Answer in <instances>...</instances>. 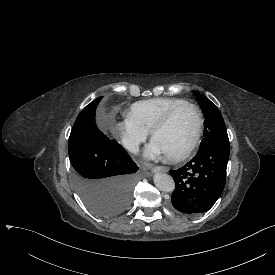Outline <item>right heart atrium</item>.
I'll return each instance as SVG.
<instances>
[{
  "instance_id": "right-heart-atrium-1",
  "label": "right heart atrium",
  "mask_w": 275,
  "mask_h": 275,
  "mask_svg": "<svg viewBox=\"0 0 275 275\" xmlns=\"http://www.w3.org/2000/svg\"><path fill=\"white\" fill-rule=\"evenodd\" d=\"M114 134L131 153H137L148 133L129 118L115 122Z\"/></svg>"
}]
</instances>
